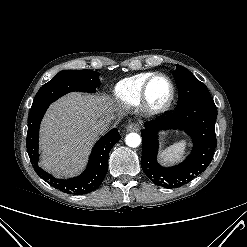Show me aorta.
<instances>
[{"mask_svg": "<svg viewBox=\"0 0 247 247\" xmlns=\"http://www.w3.org/2000/svg\"><path fill=\"white\" fill-rule=\"evenodd\" d=\"M125 142L129 147L136 148L141 144V137L137 133H129L125 138Z\"/></svg>", "mask_w": 247, "mask_h": 247, "instance_id": "762f6f07", "label": "aorta"}]
</instances>
